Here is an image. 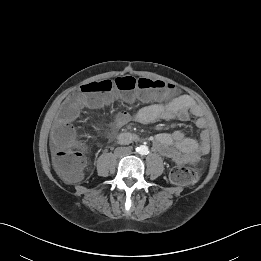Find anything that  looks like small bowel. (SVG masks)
I'll use <instances>...</instances> for the list:
<instances>
[{"label": "small bowel", "mask_w": 261, "mask_h": 261, "mask_svg": "<svg viewBox=\"0 0 261 261\" xmlns=\"http://www.w3.org/2000/svg\"><path fill=\"white\" fill-rule=\"evenodd\" d=\"M108 96L105 100H109ZM193 120L195 126L201 130L199 138L186 135L182 130L171 133H159L154 139L155 148L165 157L176 162L196 163L200 156L210 150V132L208 121L204 117L203 108L187 95H181L168 101L147 104L135 113L120 111L115 114L109 124L111 133L134 121L149 125L160 120Z\"/></svg>", "instance_id": "1"}]
</instances>
